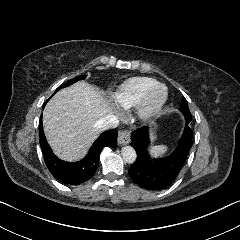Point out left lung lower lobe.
<instances>
[{
	"mask_svg": "<svg viewBox=\"0 0 240 240\" xmlns=\"http://www.w3.org/2000/svg\"><path fill=\"white\" fill-rule=\"evenodd\" d=\"M188 123L175 151L164 158L152 159L148 155V127L139 128L131 133V146L137 153V159L128 173L136 184L148 190H160L172 183L191 148L193 132Z\"/></svg>",
	"mask_w": 240,
	"mask_h": 240,
	"instance_id": "obj_1",
	"label": "left lung lower lobe"
}]
</instances>
